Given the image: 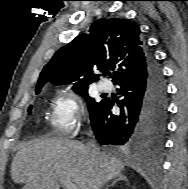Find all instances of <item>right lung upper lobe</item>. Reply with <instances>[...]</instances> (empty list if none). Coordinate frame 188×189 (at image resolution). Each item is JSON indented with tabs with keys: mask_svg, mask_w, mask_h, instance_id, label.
Masks as SVG:
<instances>
[{
	"mask_svg": "<svg viewBox=\"0 0 188 189\" xmlns=\"http://www.w3.org/2000/svg\"><path fill=\"white\" fill-rule=\"evenodd\" d=\"M140 34L139 27L125 19L95 21L89 34L77 36L54 54L40 74L36 92L48 81L56 85L75 82L73 89L88 88L99 77L94 69L103 74L117 69L112 76L115 85L142 74L150 52Z\"/></svg>",
	"mask_w": 188,
	"mask_h": 189,
	"instance_id": "right-lung-upper-lobe-1",
	"label": "right lung upper lobe"
}]
</instances>
